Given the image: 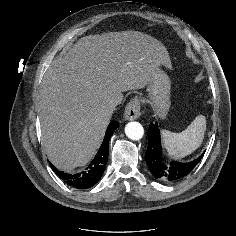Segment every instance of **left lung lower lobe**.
<instances>
[{"instance_id":"obj_1","label":"left lung lower lobe","mask_w":236,"mask_h":236,"mask_svg":"<svg viewBox=\"0 0 236 236\" xmlns=\"http://www.w3.org/2000/svg\"><path fill=\"white\" fill-rule=\"evenodd\" d=\"M148 148L145 154L146 163L156 179L164 182L177 181L187 174L200 162L203 154L191 162L165 161L162 155L160 131L157 122L149 125Z\"/></svg>"}]
</instances>
